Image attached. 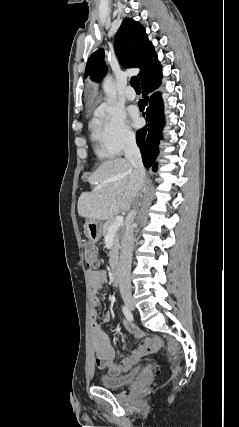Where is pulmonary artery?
I'll use <instances>...</instances> for the list:
<instances>
[{
	"mask_svg": "<svg viewBox=\"0 0 239 427\" xmlns=\"http://www.w3.org/2000/svg\"><path fill=\"white\" fill-rule=\"evenodd\" d=\"M125 96L128 100L132 101L136 98V93L134 91V89L131 86H128L125 89Z\"/></svg>",
	"mask_w": 239,
	"mask_h": 427,
	"instance_id": "pulmonary-artery-1",
	"label": "pulmonary artery"
}]
</instances>
